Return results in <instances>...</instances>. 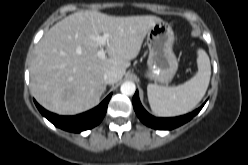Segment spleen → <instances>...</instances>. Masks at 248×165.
I'll use <instances>...</instances> for the list:
<instances>
[{
	"label": "spleen",
	"mask_w": 248,
	"mask_h": 165,
	"mask_svg": "<svg viewBox=\"0 0 248 165\" xmlns=\"http://www.w3.org/2000/svg\"><path fill=\"white\" fill-rule=\"evenodd\" d=\"M197 66L196 75L181 85L147 86L148 101L155 115L173 117L188 113L196 107L207 91L211 76L210 59L203 49L198 50Z\"/></svg>",
	"instance_id": "obj_1"
}]
</instances>
